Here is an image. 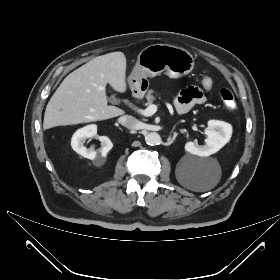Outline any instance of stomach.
I'll return each mask as SVG.
<instances>
[{"label": "stomach", "mask_w": 280, "mask_h": 280, "mask_svg": "<svg viewBox=\"0 0 280 280\" xmlns=\"http://www.w3.org/2000/svg\"><path fill=\"white\" fill-rule=\"evenodd\" d=\"M193 68L194 58L187 50L168 44H153L139 53L128 83L132 90L144 91L148 77L165 72L176 79L189 74Z\"/></svg>", "instance_id": "0dacf381"}]
</instances>
